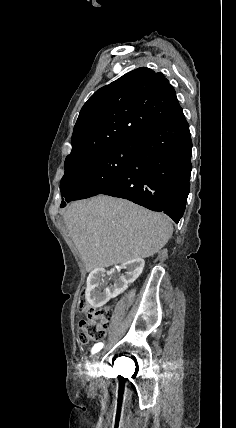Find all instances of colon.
<instances>
[{
  "instance_id": "colon-1",
  "label": "colon",
  "mask_w": 236,
  "mask_h": 428,
  "mask_svg": "<svg viewBox=\"0 0 236 428\" xmlns=\"http://www.w3.org/2000/svg\"><path fill=\"white\" fill-rule=\"evenodd\" d=\"M79 310L85 317L79 322L77 337L80 343L86 344L102 340L112 318L109 308H94L86 300V290L83 288L79 296Z\"/></svg>"
}]
</instances>
